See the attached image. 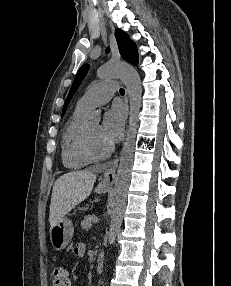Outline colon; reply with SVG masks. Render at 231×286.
I'll list each match as a JSON object with an SVG mask.
<instances>
[{"mask_svg":"<svg viewBox=\"0 0 231 286\" xmlns=\"http://www.w3.org/2000/svg\"><path fill=\"white\" fill-rule=\"evenodd\" d=\"M53 286H70V275L66 268L57 266L53 270L52 274Z\"/></svg>","mask_w":231,"mask_h":286,"instance_id":"colon-1","label":"colon"}]
</instances>
